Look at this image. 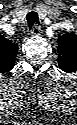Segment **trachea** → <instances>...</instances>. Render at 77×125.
Segmentation results:
<instances>
[{
	"label": "trachea",
	"instance_id": "obj_1",
	"mask_svg": "<svg viewBox=\"0 0 77 125\" xmlns=\"http://www.w3.org/2000/svg\"><path fill=\"white\" fill-rule=\"evenodd\" d=\"M29 29H32L34 25L39 23L38 14L35 11H31L26 15Z\"/></svg>",
	"mask_w": 77,
	"mask_h": 125
}]
</instances>
